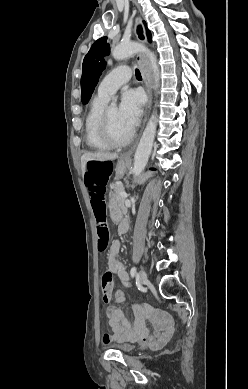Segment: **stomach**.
Returning a JSON list of instances; mask_svg holds the SVG:
<instances>
[{"mask_svg": "<svg viewBox=\"0 0 248 389\" xmlns=\"http://www.w3.org/2000/svg\"><path fill=\"white\" fill-rule=\"evenodd\" d=\"M127 167H128V162L123 161L122 159H119L118 162L116 163V166H115L116 177L121 178L124 175ZM121 188H122L121 182H114L113 183V186H112L113 190L121 189ZM110 208H111L110 215L112 216L113 220H122V218H123L122 211H121V209H119L114 195H112V197L110 199Z\"/></svg>", "mask_w": 248, "mask_h": 389, "instance_id": "stomach-1", "label": "stomach"}]
</instances>
